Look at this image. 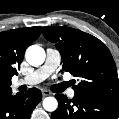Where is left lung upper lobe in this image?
I'll list each match as a JSON object with an SVG mask.
<instances>
[{
    "instance_id": "left-lung-upper-lobe-1",
    "label": "left lung upper lobe",
    "mask_w": 119,
    "mask_h": 119,
    "mask_svg": "<svg viewBox=\"0 0 119 119\" xmlns=\"http://www.w3.org/2000/svg\"><path fill=\"white\" fill-rule=\"evenodd\" d=\"M43 34L59 50L63 70L77 77L75 93L119 99L116 65L109 49L96 37L69 27H44Z\"/></svg>"
}]
</instances>
